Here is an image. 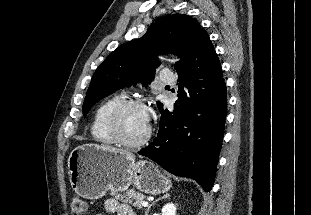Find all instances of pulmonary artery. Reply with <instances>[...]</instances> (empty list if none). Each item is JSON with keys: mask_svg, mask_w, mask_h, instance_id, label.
I'll return each mask as SVG.
<instances>
[{"mask_svg": "<svg viewBox=\"0 0 311 215\" xmlns=\"http://www.w3.org/2000/svg\"><path fill=\"white\" fill-rule=\"evenodd\" d=\"M160 79L162 82L167 84L175 82V77L169 70H163Z\"/></svg>", "mask_w": 311, "mask_h": 215, "instance_id": "pulmonary-artery-1", "label": "pulmonary artery"}]
</instances>
